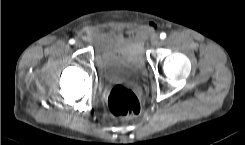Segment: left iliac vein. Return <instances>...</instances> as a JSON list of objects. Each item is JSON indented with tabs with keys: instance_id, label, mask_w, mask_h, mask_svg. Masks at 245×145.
<instances>
[{
	"instance_id": "1",
	"label": "left iliac vein",
	"mask_w": 245,
	"mask_h": 145,
	"mask_svg": "<svg viewBox=\"0 0 245 145\" xmlns=\"http://www.w3.org/2000/svg\"><path fill=\"white\" fill-rule=\"evenodd\" d=\"M160 43H161V40H160L159 36H157V35L152 36V38H151V44L153 46H157Z\"/></svg>"
}]
</instances>
